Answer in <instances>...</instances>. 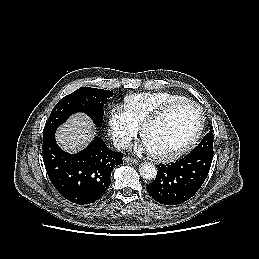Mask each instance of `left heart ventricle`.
I'll return each mask as SVG.
<instances>
[{"instance_id":"left-heart-ventricle-1","label":"left heart ventricle","mask_w":259,"mask_h":259,"mask_svg":"<svg viewBox=\"0 0 259 259\" xmlns=\"http://www.w3.org/2000/svg\"><path fill=\"white\" fill-rule=\"evenodd\" d=\"M199 112L191 105H181L149 126L143 136L153 153H166L184 144L196 131Z\"/></svg>"}]
</instances>
